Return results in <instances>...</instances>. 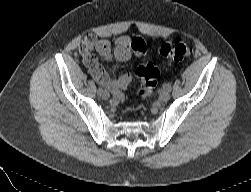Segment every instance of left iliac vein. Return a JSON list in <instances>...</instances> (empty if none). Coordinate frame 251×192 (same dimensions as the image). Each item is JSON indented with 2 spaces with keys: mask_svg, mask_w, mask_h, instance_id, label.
<instances>
[{
  "mask_svg": "<svg viewBox=\"0 0 251 192\" xmlns=\"http://www.w3.org/2000/svg\"><path fill=\"white\" fill-rule=\"evenodd\" d=\"M159 99L162 102H167L170 99V91L166 88L162 89L159 95Z\"/></svg>",
  "mask_w": 251,
  "mask_h": 192,
  "instance_id": "4c4485c4",
  "label": "left iliac vein"
}]
</instances>
